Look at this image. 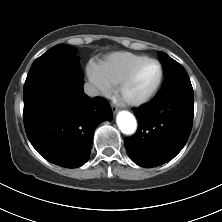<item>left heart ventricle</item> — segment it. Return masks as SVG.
I'll return each instance as SVG.
<instances>
[{
	"label": "left heart ventricle",
	"instance_id": "1",
	"mask_svg": "<svg viewBox=\"0 0 222 222\" xmlns=\"http://www.w3.org/2000/svg\"><path fill=\"white\" fill-rule=\"evenodd\" d=\"M158 66L153 62L144 64L123 93L124 99L136 100L144 97L158 79Z\"/></svg>",
	"mask_w": 222,
	"mask_h": 222
}]
</instances>
